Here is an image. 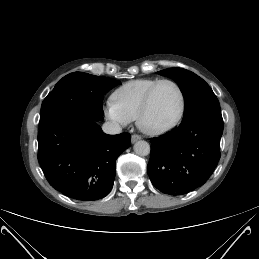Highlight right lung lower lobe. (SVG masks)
I'll list each match as a JSON object with an SVG mask.
<instances>
[{"label": "right lung lower lobe", "instance_id": "1", "mask_svg": "<svg viewBox=\"0 0 259 259\" xmlns=\"http://www.w3.org/2000/svg\"><path fill=\"white\" fill-rule=\"evenodd\" d=\"M129 146V133L108 135L97 121L61 117L39 126L38 161L54 189L93 201L111 191L116 159Z\"/></svg>", "mask_w": 259, "mask_h": 259}]
</instances>
